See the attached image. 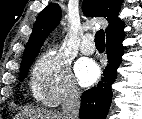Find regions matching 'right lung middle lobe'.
<instances>
[{"instance_id":"1","label":"right lung middle lobe","mask_w":142,"mask_h":119,"mask_svg":"<svg viewBox=\"0 0 142 119\" xmlns=\"http://www.w3.org/2000/svg\"><path fill=\"white\" fill-rule=\"evenodd\" d=\"M32 60H34V59L29 60L28 62H26L25 64H23L21 66V71H20V80L21 81L24 80V78L26 77V75L29 71V68L32 64Z\"/></svg>"}]
</instances>
